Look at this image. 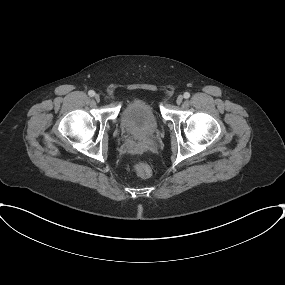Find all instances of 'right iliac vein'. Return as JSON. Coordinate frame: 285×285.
I'll return each mask as SVG.
<instances>
[{
  "mask_svg": "<svg viewBox=\"0 0 285 285\" xmlns=\"http://www.w3.org/2000/svg\"><path fill=\"white\" fill-rule=\"evenodd\" d=\"M94 98H95V100H96L97 102L100 101V96H99L98 94H96V95L94 96Z\"/></svg>",
  "mask_w": 285,
  "mask_h": 285,
  "instance_id": "63e3f726",
  "label": "right iliac vein"
}]
</instances>
